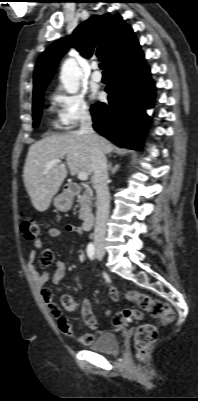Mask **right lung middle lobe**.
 <instances>
[{"label":"right lung middle lobe","mask_w":198,"mask_h":401,"mask_svg":"<svg viewBox=\"0 0 198 401\" xmlns=\"http://www.w3.org/2000/svg\"><path fill=\"white\" fill-rule=\"evenodd\" d=\"M43 106V92L33 97V127H37L39 124L40 116L42 114L41 109Z\"/></svg>","instance_id":"1"}]
</instances>
